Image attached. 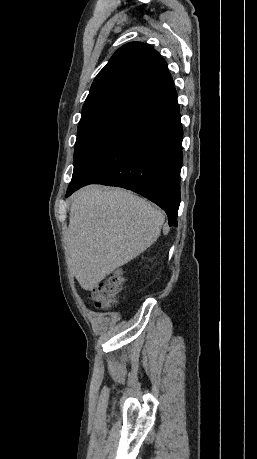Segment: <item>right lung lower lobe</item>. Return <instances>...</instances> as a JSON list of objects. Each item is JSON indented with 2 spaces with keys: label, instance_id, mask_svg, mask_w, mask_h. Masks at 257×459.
I'll return each instance as SVG.
<instances>
[{
  "label": "right lung lower lobe",
  "instance_id": "obj_1",
  "mask_svg": "<svg viewBox=\"0 0 257 459\" xmlns=\"http://www.w3.org/2000/svg\"><path fill=\"white\" fill-rule=\"evenodd\" d=\"M175 88L133 114L108 145L73 175L66 196L87 184L123 187L148 198L177 226L182 138Z\"/></svg>",
  "mask_w": 257,
  "mask_h": 459
}]
</instances>
